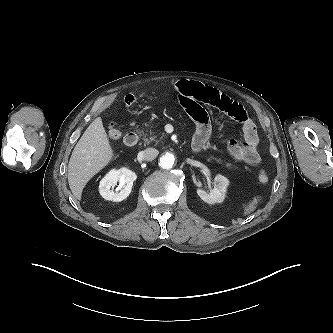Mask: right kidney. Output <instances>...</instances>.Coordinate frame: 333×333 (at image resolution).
<instances>
[{"mask_svg": "<svg viewBox=\"0 0 333 333\" xmlns=\"http://www.w3.org/2000/svg\"><path fill=\"white\" fill-rule=\"evenodd\" d=\"M136 178L137 175L129 169H113L101 180L99 192L106 200L120 202L128 197ZM117 183L119 185L115 188Z\"/></svg>", "mask_w": 333, "mask_h": 333, "instance_id": "obj_1", "label": "right kidney"}]
</instances>
